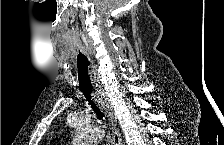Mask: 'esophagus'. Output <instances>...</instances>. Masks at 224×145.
<instances>
[{
    "instance_id": "1",
    "label": "esophagus",
    "mask_w": 224,
    "mask_h": 145,
    "mask_svg": "<svg viewBox=\"0 0 224 145\" xmlns=\"http://www.w3.org/2000/svg\"><path fill=\"white\" fill-rule=\"evenodd\" d=\"M96 102L99 108L105 113L107 118L112 122V134L114 145H122V137L117 124V119L114 114V110L110 102L105 98L103 90L97 91Z\"/></svg>"
}]
</instances>
